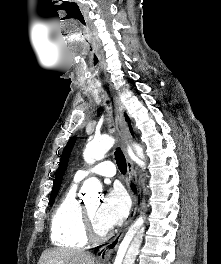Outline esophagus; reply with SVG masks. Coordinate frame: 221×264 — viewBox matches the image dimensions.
<instances>
[{
  "instance_id": "34e87169",
  "label": "esophagus",
  "mask_w": 221,
  "mask_h": 264,
  "mask_svg": "<svg viewBox=\"0 0 221 264\" xmlns=\"http://www.w3.org/2000/svg\"><path fill=\"white\" fill-rule=\"evenodd\" d=\"M113 102H114V110H115V123L117 131L121 137L122 140V147L125 152L126 156V164H127V185L132 197V207L130 210L129 218L124 223V226L119 230V232L116 234V236L106 245L102 246L98 252H97V259L101 263H106L113 252L117 249L125 231L126 228L132 223L136 211H137V197L134 195L132 191V180L135 176V171L133 167V163L129 157V150H130V133L129 130L125 124L124 120V108L116 94L112 92Z\"/></svg>"
}]
</instances>
